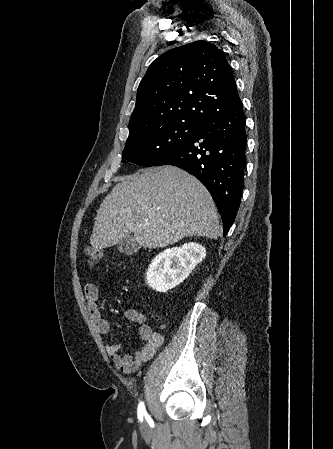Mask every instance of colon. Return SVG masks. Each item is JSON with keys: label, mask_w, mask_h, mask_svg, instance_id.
<instances>
[{"label": "colon", "mask_w": 333, "mask_h": 449, "mask_svg": "<svg viewBox=\"0 0 333 449\" xmlns=\"http://www.w3.org/2000/svg\"><path fill=\"white\" fill-rule=\"evenodd\" d=\"M86 257L89 265H96L102 260L103 253L96 247H89L86 250Z\"/></svg>", "instance_id": "colon-1"}]
</instances>
